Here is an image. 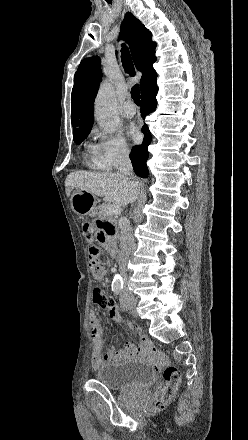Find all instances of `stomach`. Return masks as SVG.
<instances>
[{
    "mask_svg": "<svg viewBox=\"0 0 248 440\" xmlns=\"http://www.w3.org/2000/svg\"><path fill=\"white\" fill-rule=\"evenodd\" d=\"M97 203V198L94 194L76 189L71 197L72 209L75 213L83 215L92 211ZM96 229L98 230V246H113L114 239L113 232L117 231V224L114 218H97Z\"/></svg>",
    "mask_w": 248,
    "mask_h": 440,
    "instance_id": "obj_1",
    "label": "stomach"
}]
</instances>
